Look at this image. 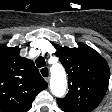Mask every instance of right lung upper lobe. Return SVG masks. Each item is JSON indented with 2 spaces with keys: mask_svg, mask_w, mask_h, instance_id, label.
<instances>
[{
  "mask_svg": "<svg viewBox=\"0 0 112 112\" xmlns=\"http://www.w3.org/2000/svg\"><path fill=\"white\" fill-rule=\"evenodd\" d=\"M19 52V47L0 46V112H27L47 88L33 61Z\"/></svg>",
  "mask_w": 112,
  "mask_h": 112,
  "instance_id": "obj_1",
  "label": "right lung upper lobe"
}]
</instances>
